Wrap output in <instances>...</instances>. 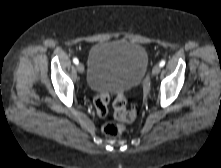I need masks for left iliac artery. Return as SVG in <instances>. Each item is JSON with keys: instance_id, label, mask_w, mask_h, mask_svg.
Wrapping results in <instances>:
<instances>
[{"instance_id": "44dca946", "label": "left iliac artery", "mask_w": 221, "mask_h": 168, "mask_svg": "<svg viewBox=\"0 0 221 168\" xmlns=\"http://www.w3.org/2000/svg\"><path fill=\"white\" fill-rule=\"evenodd\" d=\"M165 65V60H162L160 63H159V66L160 67H163Z\"/></svg>"}]
</instances>
